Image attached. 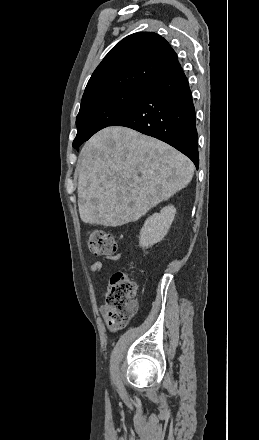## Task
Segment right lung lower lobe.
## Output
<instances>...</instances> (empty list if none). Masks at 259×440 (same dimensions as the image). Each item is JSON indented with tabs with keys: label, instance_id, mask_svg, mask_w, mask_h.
<instances>
[{
	"label": "right lung lower lobe",
	"instance_id": "1",
	"mask_svg": "<svg viewBox=\"0 0 259 440\" xmlns=\"http://www.w3.org/2000/svg\"><path fill=\"white\" fill-rule=\"evenodd\" d=\"M196 115L187 77L178 63L110 126H125L168 143L199 167Z\"/></svg>",
	"mask_w": 259,
	"mask_h": 440
}]
</instances>
